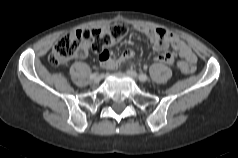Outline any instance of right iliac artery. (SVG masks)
I'll return each mask as SVG.
<instances>
[{"label": "right iliac artery", "mask_w": 238, "mask_h": 158, "mask_svg": "<svg viewBox=\"0 0 238 158\" xmlns=\"http://www.w3.org/2000/svg\"><path fill=\"white\" fill-rule=\"evenodd\" d=\"M97 75H98V72H95V73H93V74L90 75V78H91V79H94Z\"/></svg>", "instance_id": "obj_1"}]
</instances>
